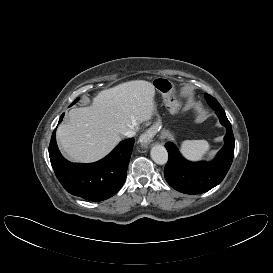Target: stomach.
<instances>
[{
    "label": "stomach",
    "instance_id": "obj_1",
    "mask_svg": "<svg viewBox=\"0 0 273 273\" xmlns=\"http://www.w3.org/2000/svg\"><path fill=\"white\" fill-rule=\"evenodd\" d=\"M159 93L162 94L164 98H170L174 93V85L171 81L166 78H156L154 82ZM162 126L161 119L158 117V120L155 122L154 127L160 129Z\"/></svg>",
    "mask_w": 273,
    "mask_h": 273
}]
</instances>
